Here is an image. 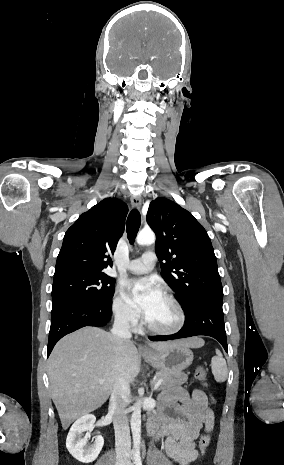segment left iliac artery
Here are the masks:
<instances>
[{
  "mask_svg": "<svg viewBox=\"0 0 284 465\" xmlns=\"http://www.w3.org/2000/svg\"><path fill=\"white\" fill-rule=\"evenodd\" d=\"M136 465H142L141 459H137V460H136Z\"/></svg>",
  "mask_w": 284,
  "mask_h": 465,
  "instance_id": "1",
  "label": "left iliac artery"
}]
</instances>
